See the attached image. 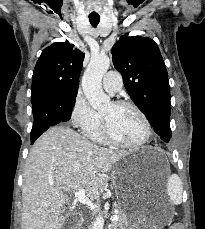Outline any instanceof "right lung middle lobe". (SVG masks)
I'll list each match as a JSON object with an SVG mask.
<instances>
[{"label": "right lung middle lobe", "mask_w": 205, "mask_h": 229, "mask_svg": "<svg viewBox=\"0 0 205 229\" xmlns=\"http://www.w3.org/2000/svg\"><path fill=\"white\" fill-rule=\"evenodd\" d=\"M77 90H75V91H71V92H69V93H67L70 97H72L73 99H76V96H77ZM47 97V96H46ZM44 98V97H43ZM42 99V98H41ZM40 100V99H39ZM38 100V101H39ZM35 102H37V101H31V103L33 104V103H35Z\"/></svg>", "instance_id": "obj_1"}]
</instances>
